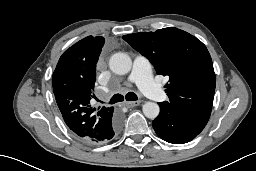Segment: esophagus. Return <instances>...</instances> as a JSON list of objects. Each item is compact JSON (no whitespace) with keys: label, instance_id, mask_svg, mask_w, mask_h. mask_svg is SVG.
Returning <instances> with one entry per match:
<instances>
[{"label":"esophagus","instance_id":"esophagus-1","mask_svg":"<svg viewBox=\"0 0 256 171\" xmlns=\"http://www.w3.org/2000/svg\"><path fill=\"white\" fill-rule=\"evenodd\" d=\"M140 104V101H132V102H125V105L129 108L138 106Z\"/></svg>","mask_w":256,"mask_h":171}]
</instances>
